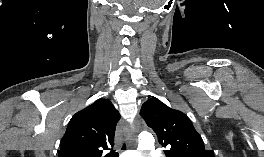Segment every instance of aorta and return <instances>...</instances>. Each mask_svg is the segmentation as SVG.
<instances>
[{
  "label": "aorta",
  "mask_w": 264,
  "mask_h": 157,
  "mask_svg": "<svg viewBox=\"0 0 264 157\" xmlns=\"http://www.w3.org/2000/svg\"><path fill=\"white\" fill-rule=\"evenodd\" d=\"M154 146V139L151 134L144 133L139 136V148L149 150Z\"/></svg>",
  "instance_id": "1"
}]
</instances>
